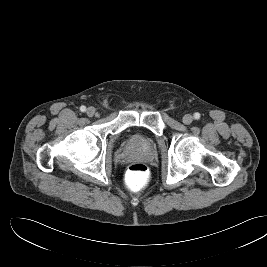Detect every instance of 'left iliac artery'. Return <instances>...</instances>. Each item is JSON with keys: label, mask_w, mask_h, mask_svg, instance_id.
<instances>
[{"label": "left iliac artery", "mask_w": 267, "mask_h": 267, "mask_svg": "<svg viewBox=\"0 0 267 267\" xmlns=\"http://www.w3.org/2000/svg\"><path fill=\"white\" fill-rule=\"evenodd\" d=\"M194 118H195L196 120L200 119V114H199L198 112L195 113V114H194Z\"/></svg>", "instance_id": "44dca946"}]
</instances>
